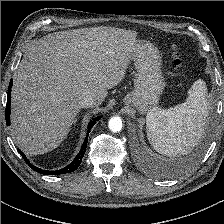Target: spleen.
Instances as JSON below:
<instances>
[{
  "label": "spleen",
  "mask_w": 224,
  "mask_h": 224,
  "mask_svg": "<svg viewBox=\"0 0 224 224\" xmlns=\"http://www.w3.org/2000/svg\"><path fill=\"white\" fill-rule=\"evenodd\" d=\"M208 109L206 83L196 80L184 103L169 109L155 107L148 112L146 126L150 144L166 156L186 154L202 137Z\"/></svg>",
  "instance_id": "obj_1"
}]
</instances>
